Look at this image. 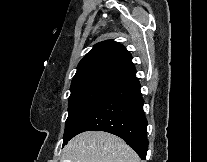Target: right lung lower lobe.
<instances>
[{"instance_id": "obj_1", "label": "right lung lower lobe", "mask_w": 207, "mask_h": 162, "mask_svg": "<svg viewBox=\"0 0 207 162\" xmlns=\"http://www.w3.org/2000/svg\"><path fill=\"white\" fill-rule=\"evenodd\" d=\"M143 104L140 83L134 76L104 98L77 126L72 137L89 130L106 131L121 137L145 160L148 140Z\"/></svg>"}]
</instances>
